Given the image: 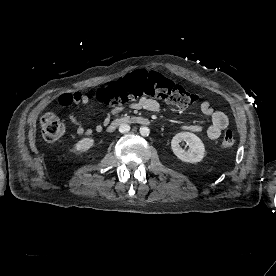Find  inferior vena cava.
Masks as SVG:
<instances>
[{
    "label": "inferior vena cava",
    "mask_w": 276,
    "mask_h": 276,
    "mask_svg": "<svg viewBox=\"0 0 276 276\" xmlns=\"http://www.w3.org/2000/svg\"><path fill=\"white\" fill-rule=\"evenodd\" d=\"M130 130V126L128 124H121L119 126V132L120 133H126Z\"/></svg>",
    "instance_id": "602c4592"
}]
</instances>
